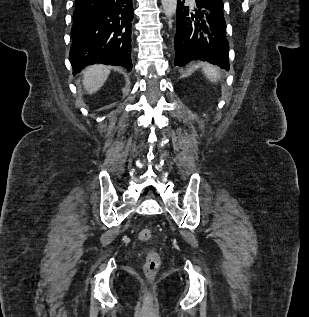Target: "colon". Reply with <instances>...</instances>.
<instances>
[{
  "label": "colon",
  "instance_id": "5ec220e1",
  "mask_svg": "<svg viewBox=\"0 0 309 317\" xmlns=\"http://www.w3.org/2000/svg\"><path fill=\"white\" fill-rule=\"evenodd\" d=\"M152 232L150 229L144 228L138 232V238L142 242H147L151 239ZM160 256L154 250H149L146 255L144 264V273L149 280H153L160 267Z\"/></svg>",
  "mask_w": 309,
  "mask_h": 317
}]
</instances>
